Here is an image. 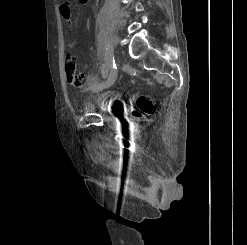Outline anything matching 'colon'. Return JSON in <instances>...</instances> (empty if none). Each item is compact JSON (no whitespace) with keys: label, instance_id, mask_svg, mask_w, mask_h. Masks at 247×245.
Returning <instances> with one entry per match:
<instances>
[{"label":"colon","instance_id":"colon-1","mask_svg":"<svg viewBox=\"0 0 247 245\" xmlns=\"http://www.w3.org/2000/svg\"><path fill=\"white\" fill-rule=\"evenodd\" d=\"M65 75L68 84L80 87L84 84L85 76L78 69L75 57L68 53L65 60ZM138 115L150 114L154 109L153 102L145 96L137 99Z\"/></svg>","mask_w":247,"mask_h":245}]
</instances>
